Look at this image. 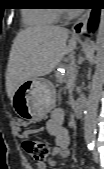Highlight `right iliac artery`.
Segmentation results:
<instances>
[{
    "label": "right iliac artery",
    "instance_id": "obj_1",
    "mask_svg": "<svg viewBox=\"0 0 104 169\" xmlns=\"http://www.w3.org/2000/svg\"><path fill=\"white\" fill-rule=\"evenodd\" d=\"M95 146V141L94 140H87V147L89 150H93Z\"/></svg>",
    "mask_w": 104,
    "mask_h": 169
}]
</instances>
